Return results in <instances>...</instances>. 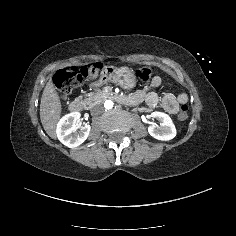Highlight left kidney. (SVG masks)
Segmentation results:
<instances>
[{
  "instance_id": "1",
  "label": "left kidney",
  "mask_w": 236,
  "mask_h": 236,
  "mask_svg": "<svg viewBox=\"0 0 236 236\" xmlns=\"http://www.w3.org/2000/svg\"><path fill=\"white\" fill-rule=\"evenodd\" d=\"M149 118H156L160 125L155 123L148 127L149 134L155 139L168 141L176 136V128L169 115L163 112H152Z\"/></svg>"
}]
</instances>
